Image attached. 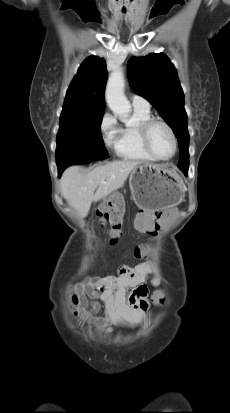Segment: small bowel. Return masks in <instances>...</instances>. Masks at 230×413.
Wrapping results in <instances>:
<instances>
[{
  "mask_svg": "<svg viewBox=\"0 0 230 413\" xmlns=\"http://www.w3.org/2000/svg\"><path fill=\"white\" fill-rule=\"evenodd\" d=\"M179 212L178 205H167L162 210L138 209L134 227H139L140 231H164L165 227L170 225L169 218H175ZM148 275H152L151 285L158 287L160 275L150 262H143L135 267L123 265L115 275L96 280L87 278L73 288L71 304L84 321L91 322L105 333L112 332V325L137 327L149 310V290L144 283ZM128 288L132 291L126 296ZM156 294L163 296V292L157 289L152 294L153 301ZM99 300L104 304L103 317L95 316L101 308Z\"/></svg>",
  "mask_w": 230,
  "mask_h": 413,
  "instance_id": "c3829d8e",
  "label": "small bowel"
}]
</instances>
